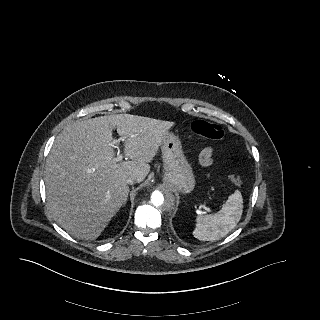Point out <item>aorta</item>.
<instances>
[{"instance_id":"obj_1","label":"aorta","mask_w":320,"mask_h":320,"mask_svg":"<svg viewBox=\"0 0 320 320\" xmlns=\"http://www.w3.org/2000/svg\"><path fill=\"white\" fill-rule=\"evenodd\" d=\"M176 199L173 192L164 187L160 190H155L151 194L150 208L154 215L163 217L166 212H172L175 208Z\"/></svg>"}]
</instances>
